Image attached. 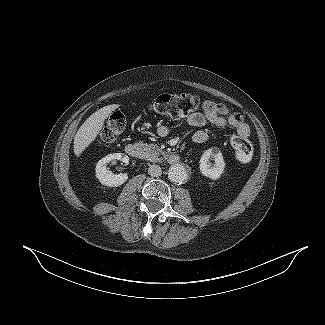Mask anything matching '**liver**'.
Here are the masks:
<instances>
[{"mask_svg": "<svg viewBox=\"0 0 325 325\" xmlns=\"http://www.w3.org/2000/svg\"><path fill=\"white\" fill-rule=\"evenodd\" d=\"M120 105H107L93 113L78 129L74 138V153L79 157L101 132L105 120Z\"/></svg>", "mask_w": 325, "mask_h": 325, "instance_id": "6515ba94", "label": "liver"}]
</instances>
